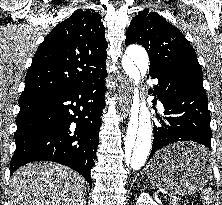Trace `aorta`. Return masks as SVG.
Masks as SVG:
<instances>
[{
  "instance_id": "1",
  "label": "aorta",
  "mask_w": 222,
  "mask_h": 205,
  "mask_svg": "<svg viewBox=\"0 0 222 205\" xmlns=\"http://www.w3.org/2000/svg\"><path fill=\"white\" fill-rule=\"evenodd\" d=\"M126 73L136 79L145 75L149 69V58L145 49L139 45H131L126 49L122 59ZM137 93V89H135ZM152 145V123L149 108L144 96L141 103L135 99L131 109V120L128 124L123 146V164L131 170L140 169L150 154Z\"/></svg>"
}]
</instances>
